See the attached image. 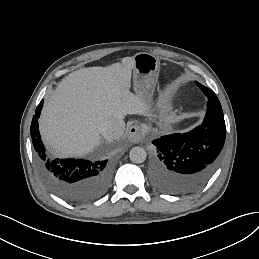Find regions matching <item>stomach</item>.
I'll return each mask as SVG.
<instances>
[{
    "mask_svg": "<svg viewBox=\"0 0 259 259\" xmlns=\"http://www.w3.org/2000/svg\"><path fill=\"white\" fill-rule=\"evenodd\" d=\"M134 73L145 76H154L159 73L160 60L150 53L140 52L134 56Z\"/></svg>",
    "mask_w": 259,
    "mask_h": 259,
    "instance_id": "1",
    "label": "stomach"
}]
</instances>
